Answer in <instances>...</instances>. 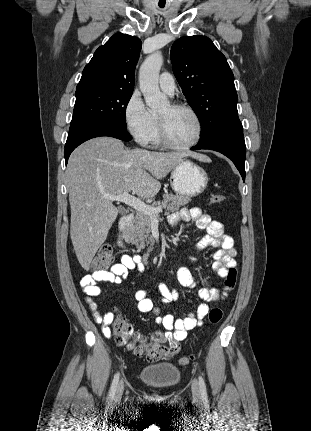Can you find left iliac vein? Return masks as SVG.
<instances>
[{
	"instance_id": "1",
	"label": "left iliac vein",
	"mask_w": 311,
	"mask_h": 431,
	"mask_svg": "<svg viewBox=\"0 0 311 431\" xmlns=\"http://www.w3.org/2000/svg\"><path fill=\"white\" fill-rule=\"evenodd\" d=\"M192 394H193V397L197 400L201 398L200 386L197 380H194L192 382Z\"/></svg>"
}]
</instances>
